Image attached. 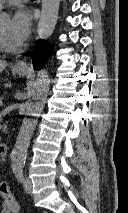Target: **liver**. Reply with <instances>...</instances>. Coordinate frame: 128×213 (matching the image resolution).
Returning <instances> with one entry per match:
<instances>
[{
    "label": "liver",
    "mask_w": 128,
    "mask_h": 213,
    "mask_svg": "<svg viewBox=\"0 0 128 213\" xmlns=\"http://www.w3.org/2000/svg\"><path fill=\"white\" fill-rule=\"evenodd\" d=\"M7 65L8 64L6 61L0 60V73L6 68Z\"/></svg>",
    "instance_id": "obj_1"
}]
</instances>
